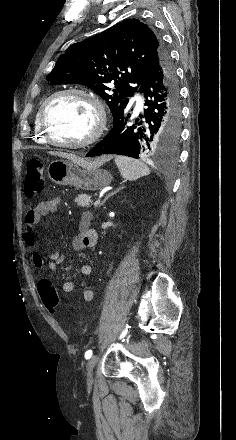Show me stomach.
<instances>
[{
  "mask_svg": "<svg viewBox=\"0 0 236 440\" xmlns=\"http://www.w3.org/2000/svg\"><path fill=\"white\" fill-rule=\"evenodd\" d=\"M49 178L58 185H71L83 190H100L112 181L105 169L82 166L70 159L52 161L47 168Z\"/></svg>",
  "mask_w": 236,
  "mask_h": 440,
  "instance_id": "obj_1",
  "label": "stomach"
}]
</instances>
